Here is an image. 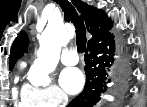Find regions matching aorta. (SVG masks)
I'll return each mask as SVG.
<instances>
[{"mask_svg":"<svg viewBox=\"0 0 147 107\" xmlns=\"http://www.w3.org/2000/svg\"><path fill=\"white\" fill-rule=\"evenodd\" d=\"M69 42V35L62 21H50L40 38L38 58L31 67L35 84L50 83L49 73L55 70L62 46Z\"/></svg>","mask_w":147,"mask_h":107,"instance_id":"obj_1","label":"aorta"}]
</instances>
